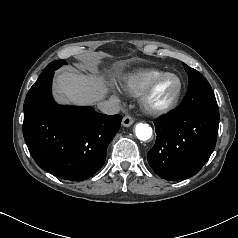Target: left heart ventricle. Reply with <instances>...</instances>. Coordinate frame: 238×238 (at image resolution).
I'll use <instances>...</instances> for the list:
<instances>
[{
  "mask_svg": "<svg viewBox=\"0 0 238 238\" xmlns=\"http://www.w3.org/2000/svg\"><path fill=\"white\" fill-rule=\"evenodd\" d=\"M178 88V81L174 77H166L162 79L152 96V101L154 103L162 104L167 102L172 98Z\"/></svg>",
  "mask_w": 238,
  "mask_h": 238,
  "instance_id": "obj_1",
  "label": "left heart ventricle"
}]
</instances>
